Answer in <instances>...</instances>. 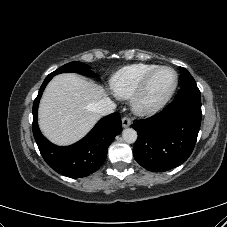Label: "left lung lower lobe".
I'll return each mask as SVG.
<instances>
[{"instance_id":"left-lung-lower-lobe-1","label":"left lung lower lobe","mask_w":227,"mask_h":227,"mask_svg":"<svg viewBox=\"0 0 227 227\" xmlns=\"http://www.w3.org/2000/svg\"><path fill=\"white\" fill-rule=\"evenodd\" d=\"M201 116L200 91L196 82L180 86L174 100L161 112L132 124L138 131L134 158L153 172L181 165L194 149Z\"/></svg>"}]
</instances>
